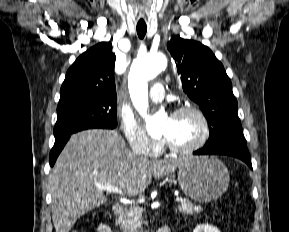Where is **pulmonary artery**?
Here are the masks:
<instances>
[{
  "label": "pulmonary artery",
  "mask_w": 289,
  "mask_h": 232,
  "mask_svg": "<svg viewBox=\"0 0 289 232\" xmlns=\"http://www.w3.org/2000/svg\"><path fill=\"white\" fill-rule=\"evenodd\" d=\"M165 91L161 83L154 84L149 92V98L153 102H161L164 98Z\"/></svg>",
  "instance_id": "1"
}]
</instances>
